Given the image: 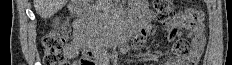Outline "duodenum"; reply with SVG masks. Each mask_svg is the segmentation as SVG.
<instances>
[{
    "instance_id": "duodenum-1",
    "label": "duodenum",
    "mask_w": 232,
    "mask_h": 65,
    "mask_svg": "<svg viewBox=\"0 0 232 65\" xmlns=\"http://www.w3.org/2000/svg\"><path fill=\"white\" fill-rule=\"evenodd\" d=\"M73 11L78 15L77 21L89 36L90 47L94 48L97 54L115 43L126 44L139 30L147 28L142 18H134L128 24L106 30H95L91 25L92 12L84 1H75Z\"/></svg>"
}]
</instances>
